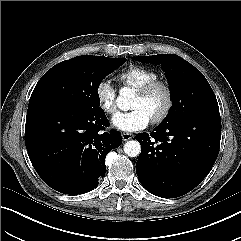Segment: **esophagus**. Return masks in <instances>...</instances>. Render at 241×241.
<instances>
[{"label":"esophagus","mask_w":241,"mask_h":241,"mask_svg":"<svg viewBox=\"0 0 241 241\" xmlns=\"http://www.w3.org/2000/svg\"><path fill=\"white\" fill-rule=\"evenodd\" d=\"M134 136H133V134H131V133H122V139L124 140V141H128V140H130V139H132Z\"/></svg>","instance_id":"obj_1"}]
</instances>
